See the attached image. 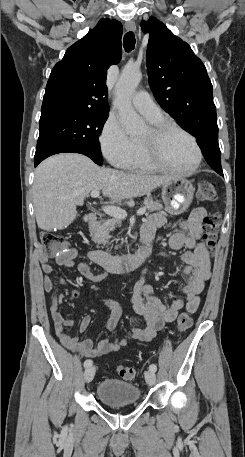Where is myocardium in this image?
Segmentation results:
<instances>
[{
	"label": "myocardium",
	"mask_w": 245,
	"mask_h": 457,
	"mask_svg": "<svg viewBox=\"0 0 245 457\" xmlns=\"http://www.w3.org/2000/svg\"><path fill=\"white\" fill-rule=\"evenodd\" d=\"M151 130L153 131L158 143L162 142L163 139L166 137V135L172 131H178V132L184 134L187 138H189V140L192 143L191 146L195 153V163L191 168L186 169V170L173 169V168L164 166L160 162H157L154 159H152L147 152L146 146L141 141H138L139 155L147 166H149L152 169L158 170V171H163V172L172 173V174H179V175H190L198 169V167L202 161V153L198 146L196 138L191 133H189L187 130H185L178 124L171 122V121H167V120H162V121L154 123L151 127Z\"/></svg>",
	"instance_id": "myocardium-1"
}]
</instances>
